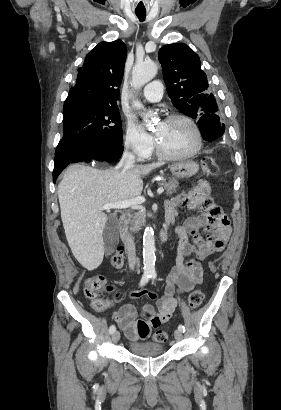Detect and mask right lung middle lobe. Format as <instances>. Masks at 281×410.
Listing matches in <instances>:
<instances>
[{"instance_id":"obj_1","label":"right lung middle lobe","mask_w":281,"mask_h":410,"mask_svg":"<svg viewBox=\"0 0 281 410\" xmlns=\"http://www.w3.org/2000/svg\"><path fill=\"white\" fill-rule=\"evenodd\" d=\"M64 134L55 155L88 145H122V125L117 107L71 104L63 109Z\"/></svg>"}]
</instances>
